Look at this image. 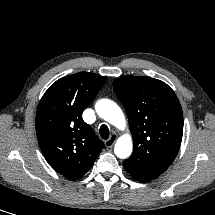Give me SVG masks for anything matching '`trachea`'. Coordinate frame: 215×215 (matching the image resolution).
Returning a JSON list of instances; mask_svg holds the SVG:
<instances>
[{
    "instance_id": "3493384b",
    "label": "trachea",
    "mask_w": 215,
    "mask_h": 215,
    "mask_svg": "<svg viewBox=\"0 0 215 215\" xmlns=\"http://www.w3.org/2000/svg\"><path fill=\"white\" fill-rule=\"evenodd\" d=\"M99 132H100L101 138L108 139V137H109V129H108L107 125H105V124L101 125L100 129H99Z\"/></svg>"
}]
</instances>
